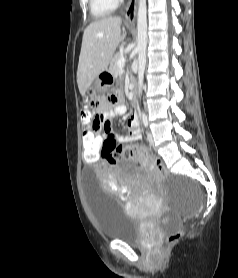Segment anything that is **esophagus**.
<instances>
[{"label":"esophagus","instance_id":"obj_1","mask_svg":"<svg viewBox=\"0 0 238 278\" xmlns=\"http://www.w3.org/2000/svg\"><path fill=\"white\" fill-rule=\"evenodd\" d=\"M138 0H129L125 11V18L128 22H134L136 18Z\"/></svg>","mask_w":238,"mask_h":278}]
</instances>
